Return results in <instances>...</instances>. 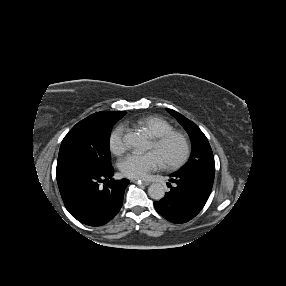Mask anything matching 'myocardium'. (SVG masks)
Segmentation results:
<instances>
[{"mask_svg":"<svg viewBox=\"0 0 286 286\" xmlns=\"http://www.w3.org/2000/svg\"><path fill=\"white\" fill-rule=\"evenodd\" d=\"M173 137L183 138V140L185 141V152L179 160L172 162L170 164L164 165L165 169L167 170H176L182 167L189 160L191 153H192V143H191L190 137L185 132L180 131V130H173V131L163 133L154 138V143L157 145H162Z\"/></svg>","mask_w":286,"mask_h":286,"instance_id":"f54148a6","label":"myocardium"}]
</instances>
